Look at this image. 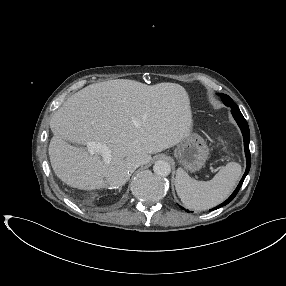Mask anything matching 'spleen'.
<instances>
[{"instance_id": "spleen-1", "label": "spleen", "mask_w": 286, "mask_h": 286, "mask_svg": "<svg viewBox=\"0 0 286 286\" xmlns=\"http://www.w3.org/2000/svg\"><path fill=\"white\" fill-rule=\"evenodd\" d=\"M242 174L240 164L229 162L209 181L192 179L178 168L175 187L182 203L193 210H207L225 201L233 192Z\"/></svg>"}]
</instances>
